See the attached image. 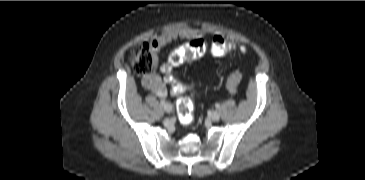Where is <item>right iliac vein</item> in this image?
I'll use <instances>...</instances> for the list:
<instances>
[{"label": "right iliac vein", "mask_w": 365, "mask_h": 180, "mask_svg": "<svg viewBox=\"0 0 365 180\" xmlns=\"http://www.w3.org/2000/svg\"><path fill=\"white\" fill-rule=\"evenodd\" d=\"M163 107H164V110L167 113H171L172 112V105L170 103H166Z\"/></svg>", "instance_id": "right-iliac-vein-1"}]
</instances>
